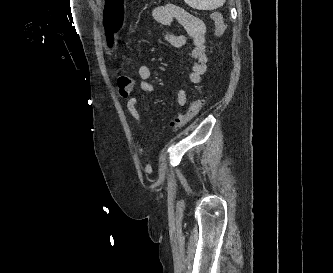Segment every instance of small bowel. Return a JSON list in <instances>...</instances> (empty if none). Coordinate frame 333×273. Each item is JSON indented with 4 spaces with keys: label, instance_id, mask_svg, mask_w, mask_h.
<instances>
[{
    "label": "small bowel",
    "instance_id": "small-bowel-1",
    "mask_svg": "<svg viewBox=\"0 0 333 273\" xmlns=\"http://www.w3.org/2000/svg\"><path fill=\"white\" fill-rule=\"evenodd\" d=\"M153 20L160 26H171L178 24L185 29V34H172L169 32L161 31V37L171 46L180 48L186 46L188 43L191 45L189 56L194 60L193 64L188 69V78L191 83L197 84L201 81L202 75L207 68V55H206V39L207 28L204 22L185 10L184 8L168 4L154 8L151 11ZM137 75L140 79L139 89L143 93H151L154 91V86L151 83L152 70L146 64H141L138 67ZM176 100L179 106L186 107L188 98L185 90L179 88L176 92ZM138 98L131 97L127 100L126 108L132 118L139 126H143L144 122L137 108ZM178 118L176 116L172 122ZM135 149L137 153L147 159V151L139 136L135 138ZM152 167L147 162L144 171L151 172Z\"/></svg>",
    "mask_w": 333,
    "mask_h": 273
}]
</instances>
